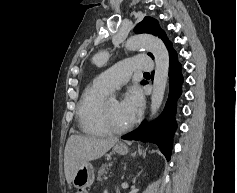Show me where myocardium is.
<instances>
[{"instance_id": "1", "label": "myocardium", "mask_w": 237, "mask_h": 193, "mask_svg": "<svg viewBox=\"0 0 237 193\" xmlns=\"http://www.w3.org/2000/svg\"><path fill=\"white\" fill-rule=\"evenodd\" d=\"M111 99H114L112 96H107L104 98L100 104L99 109V121L102 127L111 134H122L132 128V123L124 127H115L113 126L108 117V103Z\"/></svg>"}]
</instances>
